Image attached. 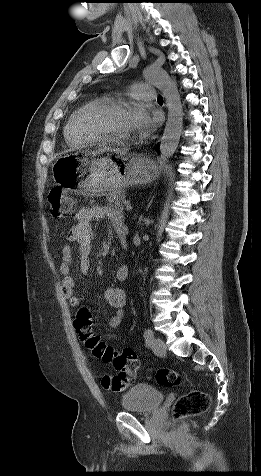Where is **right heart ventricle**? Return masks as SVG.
<instances>
[{"instance_id": "right-heart-ventricle-1", "label": "right heart ventricle", "mask_w": 261, "mask_h": 476, "mask_svg": "<svg viewBox=\"0 0 261 476\" xmlns=\"http://www.w3.org/2000/svg\"><path fill=\"white\" fill-rule=\"evenodd\" d=\"M107 97H96L83 103L69 116L64 128V136L67 144L71 147H84L95 144L98 140L86 136L80 129L79 120L83 111L96 102L107 101Z\"/></svg>"}]
</instances>
